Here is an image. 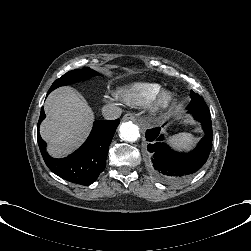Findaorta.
<instances>
[{"mask_svg":"<svg viewBox=\"0 0 251 251\" xmlns=\"http://www.w3.org/2000/svg\"><path fill=\"white\" fill-rule=\"evenodd\" d=\"M120 136L125 141H136L139 136L138 126L132 122L122 123L119 127Z\"/></svg>","mask_w":251,"mask_h":251,"instance_id":"762f6f07","label":"aorta"}]
</instances>
